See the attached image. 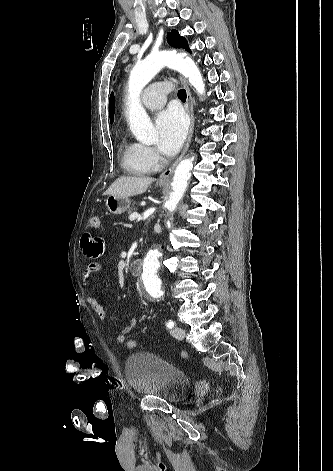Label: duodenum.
<instances>
[{
    "label": "duodenum",
    "mask_w": 333,
    "mask_h": 471,
    "mask_svg": "<svg viewBox=\"0 0 333 471\" xmlns=\"http://www.w3.org/2000/svg\"><path fill=\"white\" fill-rule=\"evenodd\" d=\"M142 269H143L142 259H136L132 261L129 265V272L134 276L139 275L142 272Z\"/></svg>",
    "instance_id": "1"
}]
</instances>
